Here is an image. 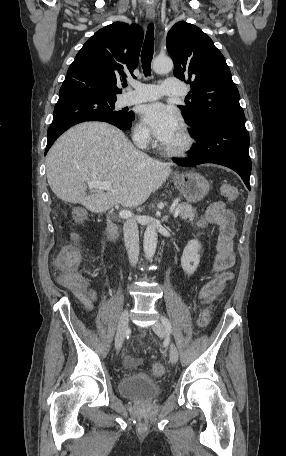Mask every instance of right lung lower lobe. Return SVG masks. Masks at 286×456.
Listing matches in <instances>:
<instances>
[{"label": "right lung lower lobe", "mask_w": 286, "mask_h": 456, "mask_svg": "<svg viewBox=\"0 0 286 456\" xmlns=\"http://www.w3.org/2000/svg\"><path fill=\"white\" fill-rule=\"evenodd\" d=\"M106 99L98 93L81 85H62L59 91V100L54 108L53 121L47 132L46 151L53 142L71 126L85 121H103L110 123L121 130L130 128L134 114L127 120L109 119L102 114Z\"/></svg>", "instance_id": "right-lung-lower-lobe-1"}]
</instances>
